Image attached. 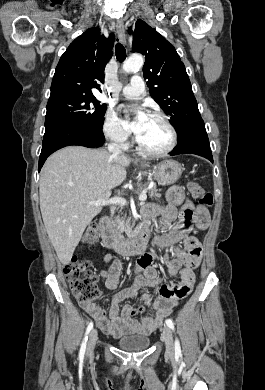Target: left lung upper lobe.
<instances>
[{"mask_svg": "<svg viewBox=\"0 0 265 390\" xmlns=\"http://www.w3.org/2000/svg\"><path fill=\"white\" fill-rule=\"evenodd\" d=\"M129 33L133 51L145 55L143 76L151 97L171 117L180 143L202 120L185 66L174 46L144 21L137 20Z\"/></svg>", "mask_w": 265, "mask_h": 390, "instance_id": "1", "label": "left lung upper lobe"}]
</instances>
